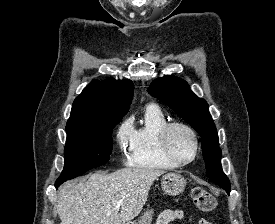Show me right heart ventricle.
Here are the masks:
<instances>
[{
    "instance_id": "1",
    "label": "right heart ventricle",
    "mask_w": 275,
    "mask_h": 224,
    "mask_svg": "<svg viewBox=\"0 0 275 224\" xmlns=\"http://www.w3.org/2000/svg\"><path fill=\"white\" fill-rule=\"evenodd\" d=\"M168 123L163 112L156 106H148L141 124L132 127V140L127 164L145 170H172L179 166L167 159L159 145V134Z\"/></svg>"
}]
</instances>
